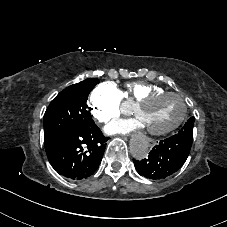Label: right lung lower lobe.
<instances>
[{
  "mask_svg": "<svg viewBox=\"0 0 227 227\" xmlns=\"http://www.w3.org/2000/svg\"><path fill=\"white\" fill-rule=\"evenodd\" d=\"M107 140L94 123L65 130L44 142L52 167L74 180L89 177L98 169Z\"/></svg>",
  "mask_w": 227,
  "mask_h": 227,
  "instance_id": "obj_1",
  "label": "right lung lower lobe"
}]
</instances>
